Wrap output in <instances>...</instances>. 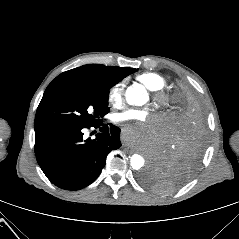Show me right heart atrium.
<instances>
[{"label": "right heart atrium", "mask_w": 239, "mask_h": 239, "mask_svg": "<svg viewBox=\"0 0 239 239\" xmlns=\"http://www.w3.org/2000/svg\"><path fill=\"white\" fill-rule=\"evenodd\" d=\"M124 99V84L118 82L114 84L108 91L107 101L113 107H119Z\"/></svg>", "instance_id": "d8ad5b80"}]
</instances>
